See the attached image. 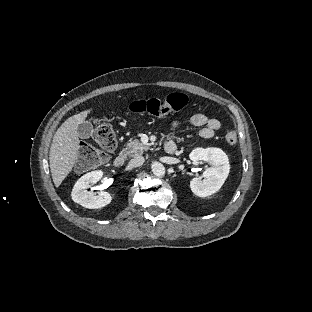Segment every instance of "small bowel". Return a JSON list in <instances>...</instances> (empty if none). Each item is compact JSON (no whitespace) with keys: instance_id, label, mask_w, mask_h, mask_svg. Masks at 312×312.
<instances>
[{"instance_id":"obj_1","label":"small bowel","mask_w":312,"mask_h":312,"mask_svg":"<svg viewBox=\"0 0 312 312\" xmlns=\"http://www.w3.org/2000/svg\"><path fill=\"white\" fill-rule=\"evenodd\" d=\"M183 124H189L194 127H202L200 135L205 139L211 138L215 134V132L221 127V122L218 119L208 117L204 114L199 113L190 115L189 117L184 119H174L171 121L170 127L172 130H176ZM169 142L173 143L172 140H170Z\"/></svg>"}]
</instances>
